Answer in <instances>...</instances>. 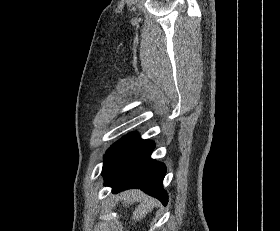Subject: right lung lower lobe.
<instances>
[{
  "label": "right lung lower lobe",
  "mask_w": 280,
  "mask_h": 231,
  "mask_svg": "<svg viewBox=\"0 0 280 231\" xmlns=\"http://www.w3.org/2000/svg\"><path fill=\"white\" fill-rule=\"evenodd\" d=\"M154 147L153 141L143 140L136 133L114 143L104 158L105 186H111L113 193L139 188L166 205L168 196L162 184L166 167L151 159Z\"/></svg>",
  "instance_id": "1"
}]
</instances>
